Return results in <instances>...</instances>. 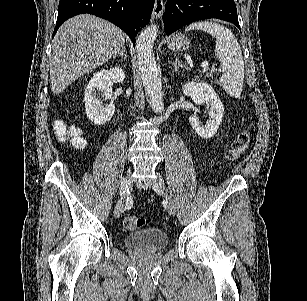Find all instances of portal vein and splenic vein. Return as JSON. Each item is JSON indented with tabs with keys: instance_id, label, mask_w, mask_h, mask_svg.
<instances>
[{
	"instance_id": "obj_1",
	"label": "portal vein and splenic vein",
	"mask_w": 307,
	"mask_h": 301,
	"mask_svg": "<svg viewBox=\"0 0 307 301\" xmlns=\"http://www.w3.org/2000/svg\"><path fill=\"white\" fill-rule=\"evenodd\" d=\"M202 70H208L209 68V62L208 60H204V62H201Z\"/></svg>"
}]
</instances>
